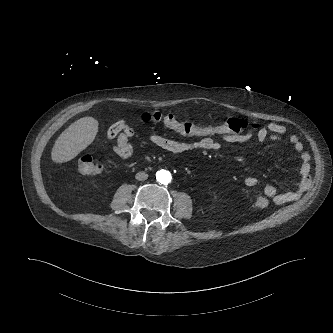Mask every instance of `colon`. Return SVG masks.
<instances>
[{"label":"colon","instance_id":"5ec220e1","mask_svg":"<svg viewBox=\"0 0 333 333\" xmlns=\"http://www.w3.org/2000/svg\"><path fill=\"white\" fill-rule=\"evenodd\" d=\"M150 120L156 123H162L166 127L186 137L199 138H217L221 139L230 134L245 133L249 128H258L257 123L249 124L247 121L230 117L220 124H199L190 120H178L173 114H162L153 112L150 114ZM126 133L132 134L129 126L125 129ZM77 169L81 174L92 175L102 171V163L90 155H84L79 158ZM253 204L259 209H267L270 200L263 195L256 196Z\"/></svg>","mask_w":333,"mask_h":333}]
</instances>
